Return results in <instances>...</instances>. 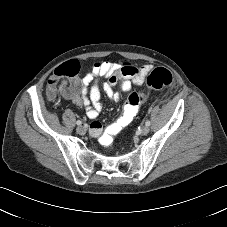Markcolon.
Returning a JSON list of instances; mask_svg holds the SVG:
<instances>
[{"label":"colon","instance_id":"obj_1","mask_svg":"<svg viewBox=\"0 0 227 227\" xmlns=\"http://www.w3.org/2000/svg\"><path fill=\"white\" fill-rule=\"evenodd\" d=\"M79 71L80 66L77 62L70 61L66 63L58 71L57 77L48 81V94L54 96L57 87L65 85L71 88L68 94L73 95L75 93L73 87H75L77 83ZM126 74L136 76L139 74V71L132 69L126 72ZM146 83L150 91L159 90L173 83V75L171 71L166 68H156L148 74ZM146 99V94L141 92H133L128 96L123 111L116 121L104 133L99 134V140L103 146H110L116 142L118 133L136 117Z\"/></svg>","mask_w":227,"mask_h":227}]
</instances>
